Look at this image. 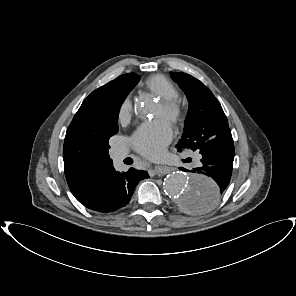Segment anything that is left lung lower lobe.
I'll return each mask as SVG.
<instances>
[{"label":"left lung lower lobe","mask_w":296,"mask_h":296,"mask_svg":"<svg viewBox=\"0 0 296 296\" xmlns=\"http://www.w3.org/2000/svg\"><path fill=\"white\" fill-rule=\"evenodd\" d=\"M202 165L188 170L183 167L182 171L193 172L194 176L213 178L217 183L215 192L202 195L200 199H193L187 206L191 212H202L215 204L224 194L229 185L234 160V143L231 131L227 130L209 141V147L201 153Z\"/></svg>","instance_id":"1"}]
</instances>
